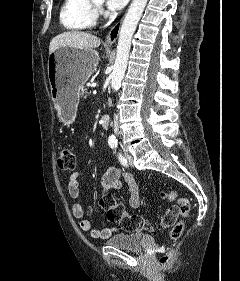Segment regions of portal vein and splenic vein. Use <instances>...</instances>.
<instances>
[{
    "mask_svg": "<svg viewBox=\"0 0 240 281\" xmlns=\"http://www.w3.org/2000/svg\"><path fill=\"white\" fill-rule=\"evenodd\" d=\"M91 86H92V87H96V83H93Z\"/></svg>",
    "mask_w": 240,
    "mask_h": 281,
    "instance_id": "18ae733b",
    "label": "portal vein and splenic vein"
}]
</instances>
